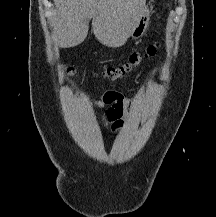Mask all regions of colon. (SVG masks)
<instances>
[{"label": "colon", "instance_id": "colon-1", "mask_svg": "<svg viewBox=\"0 0 216 217\" xmlns=\"http://www.w3.org/2000/svg\"><path fill=\"white\" fill-rule=\"evenodd\" d=\"M158 50L159 44L153 43L149 45L144 51L133 53L127 62L121 65L105 68L102 74L104 77L110 80L122 79L137 69L143 63V61L155 57ZM65 71L71 76L77 74V70L73 66H65Z\"/></svg>", "mask_w": 216, "mask_h": 217}]
</instances>
